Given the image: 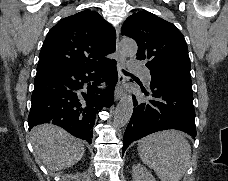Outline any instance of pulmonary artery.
<instances>
[{
	"mask_svg": "<svg viewBox=\"0 0 228 181\" xmlns=\"http://www.w3.org/2000/svg\"><path fill=\"white\" fill-rule=\"evenodd\" d=\"M146 66H130V71H146ZM147 84H149V78H145Z\"/></svg>",
	"mask_w": 228,
	"mask_h": 181,
	"instance_id": "pulmonary-artery-1",
	"label": "pulmonary artery"
}]
</instances>
